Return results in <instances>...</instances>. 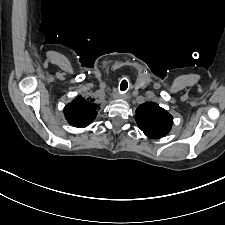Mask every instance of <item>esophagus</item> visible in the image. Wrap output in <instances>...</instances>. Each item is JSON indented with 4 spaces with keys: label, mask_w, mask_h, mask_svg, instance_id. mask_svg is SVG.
<instances>
[{
    "label": "esophagus",
    "mask_w": 225,
    "mask_h": 225,
    "mask_svg": "<svg viewBox=\"0 0 225 225\" xmlns=\"http://www.w3.org/2000/svg\"><path fill=\"white\" fill-rule=\"evenodd\" d=\"M121 96H122V97H124V98H126V97H127V95H124V94H122Z\"/></svg>",
    "instance_id": "34e87169"
}]
</instances>
